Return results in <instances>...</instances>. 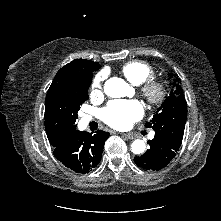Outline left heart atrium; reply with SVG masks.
I'll return each instance as SVG.
<instances>
[{"mask_svg": "<svg viewBox=\"0 0 221 221\" xmlns=\"http://www.w3.org/2000/svg\"><path fill=\"white\" fill-rule=\"evenodd\" d=\"M143 116L142 105L135 100L112 101L101 112L102 120L112 128L123 130Z\"/></svg>", "mask_w": 221, "mask_h": 221, "instance_id": "39dd6f15", "label": "left heart atrium"}]
</instances>
